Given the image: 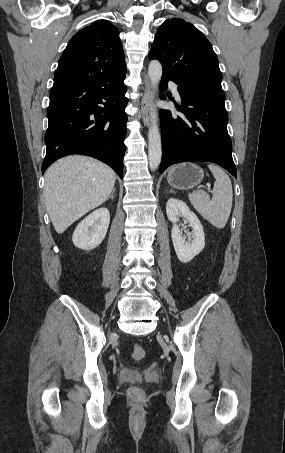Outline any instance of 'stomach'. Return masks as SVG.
<instances>
[{
	"label": "stomach",
	"instance_id": "stomach-1",
	"mask_svg": "<svg viewBox=\"0 0 285 453\" xmlns=\"http://www.w3.org/2000/svg\"><path fill=\"white\" fill-rule=\"evenodd\" d=\"M203 177L200 166L186 162L173 166L168 172L167 181L175 189L187 190L200 184Z\"/></svg>",
	"mask_w": 285,
	"mask_h": 453
}]
</instances>
